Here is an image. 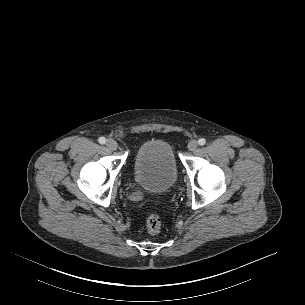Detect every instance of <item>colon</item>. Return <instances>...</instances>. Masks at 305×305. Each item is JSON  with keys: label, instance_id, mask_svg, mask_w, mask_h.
Wrapping results in <instances>:
<instances>
[{"label": "colon", "instance_id": "obj_1", "mask_svg": "<svg viewBox=\"0 0 305 305\" xmlns=\"http://www.w3.org/2000/svg\"><path fill=\"white\" fill-rule=\"evenodd\" d=\"M146 229L150 234H158L162 229V219L157 214H151L146 219Z\"/></svg>", "mask_w": 305, "mask_h": 305}]
</instances>
